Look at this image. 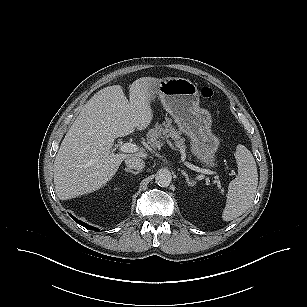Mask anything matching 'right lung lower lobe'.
Wrapping results in <instances>:
<instances>
[{"label":"right lung lower lobe","mask_w":307,"mask_h":307,"mask_svg":"<svg viewBox=\"0 0 307 307\" xmlns=\"http://www.w3.org/2000/svg\"><path fill=\"white\" fill-rule=\"evenodd\" d=\"M70 216L75 220V222H77L78 224L82 225L83 227H85V228H87L89 230L100 231L98 228H94L93 226H90V225H88V224H86V223L76 219L72 215H70Z\"/></svg>","instance_id":"right-lung-lower-lobe-1"}]
</instances>
